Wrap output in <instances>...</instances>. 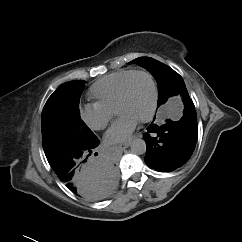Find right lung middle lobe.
Instances as JSON below:
<instances>
[{
  "label": "right lung middle lobe",
  "instance_id": "obj_1",
  "mask_svg": "<svg viewBox=\"0 0 242 242\" xmlns=\"http://www.w3.org/2000/svg\"><path fill=\"white\" fill-rule=\"evenodd\" d=\"M85 83L78 80L62 84L43 108L42 143L47 160L58 153L88 146L97 138L80 117L79 101Z\"/></svg>",
  "mask_w": 242,
  "mask_h": 242
}]
</instances>
